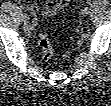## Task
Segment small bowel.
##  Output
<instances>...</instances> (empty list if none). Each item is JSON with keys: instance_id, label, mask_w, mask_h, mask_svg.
Returning <instances> with one entry per match:
<instances>
[{"instance_id": "small-bowel-1", "label": "small bowel", "mask_w": 111, "mask_h": 106, "mask_svg": "<svg viewBox=\"0 0 111 106\" xmlns=\"http://www.w3.org/2000/svg\"><path fill=\"white\" fill-rule=\"evenodd\" d=\"M68 0L47 1L43 7V15L46 17L54 16L58 11L68 5Z\"/></svg>"}]
</instances>
